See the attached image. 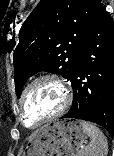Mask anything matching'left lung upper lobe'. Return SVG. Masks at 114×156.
<instances>
[{
  "label": "left lung upper lobe",
  "instance_id": "left-lung-upper-lobe-1",
  "mask_svg": "<svg viewBox=\"0 0 114 156\" xmlns=\"http://www.w3.org/2000/svg\"><path fill=\"white\" fill-rule=\"evenodd\" d=\"M99 0H41L23 23L14 50L19 97L26 80L39 71L71 82L77 55L92 24Z\"/></svg>",
  "mask_w": 114,
  "mask_h": 156
}]
</instances>
